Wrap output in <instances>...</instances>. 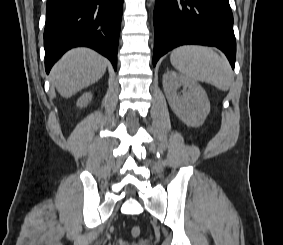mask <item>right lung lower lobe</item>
Segmentation results:
<instances>
[{
	"label": "right lung lower lobe",
	"instance_id": "98d812e1",
	"mask_svg": "<svg viewBox=\"0 0 283 245\" xmlns=\"http://www.w3.org/2000/svg\"><path fill=\"white\" fill-rule=\"evenodd\" d=\"M123 0H47L44 31L45 69L69 49L87 46L117 69Z\"/></svg>",
	"mask_w": 283,
	"mask_h": 245
}]
</instances>
